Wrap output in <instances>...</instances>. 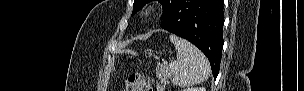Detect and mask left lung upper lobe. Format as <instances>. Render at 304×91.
I'll return each instance as SVG.
<instances>
[{
    "label": "left lung upper lobe",
    "mask_w": 304,
    "mask_h": 91,
    "mask_svg": "<svg viewBox=\"0 0 304 91\" xmlns=\"http://www.w3.org/2000/svg\"><path fill=\"white\" fill-rule=\"evenodd\" d=\"M152 0H134L133 4V12L132 15L136 14L146 3L150 2ZM162 4L163 7V16L162 19H164L167 14L172 9L173 5L176 3L177 0H157Z\"/></svg>",
    "instance_id": "obj_1"
}]
</instances>
